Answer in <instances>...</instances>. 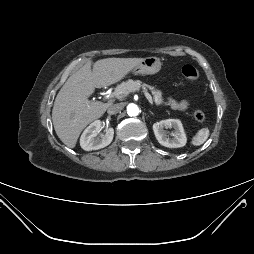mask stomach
<instances>
[{"label": "stomach", "mask_w": 254, "mask_h": 254, "mask_svg": "<svg viewBox=\"0 0 254 254\" xmlns=\"http://www.w3.org/2000/svg\"><path fill=\"white\" fill-rule=\"evenodd\" d=\"M161 69V61L157 57L144 58L135 68L132 69L133 75L155 74Z\"/></svg>", "instance_id": "0dacf381"}]
</instances>
